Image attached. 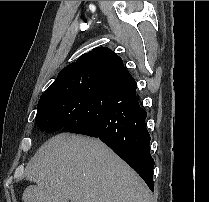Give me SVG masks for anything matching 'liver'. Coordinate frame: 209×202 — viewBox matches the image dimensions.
Wrapping results in <instances>:
<instances>
[{"label": "liver", "mask_w": 209, "mask_h": 202, "mask_svg": "<svg viewBox=\"0 0 209 202\" xmlns=\"http://www.w3.org/2000/svg\"><path fill=\"white\" fill-rule=\"evenodd\" d=\"M24 202H151L142 179L97 139L60 133L26 167Z\"/></svg>", "instance_id": "1"}]
</instances>
